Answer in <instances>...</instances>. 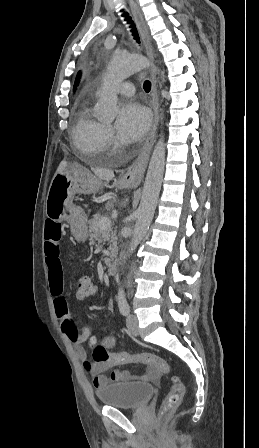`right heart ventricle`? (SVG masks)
I'll return each instance as SVG.
<instances>
[{"instance_id":"e07e8e85","label":"right heart ventricle","mask_w":259,"mask_h":448,"mask_svg":"<svg viewBox=\"0 0 259 448\" xmlns=\"http://www.w3.org/2000/svg\"><path fill=\"white\" fill-rule=\"evenodd\" d=\"M104 123L99 120L92 110L91 99H85L78 105L73 138L78 148L84 150L80 156V163H101L103 161L102 132Z\"/></svg>"}]
</instances>
